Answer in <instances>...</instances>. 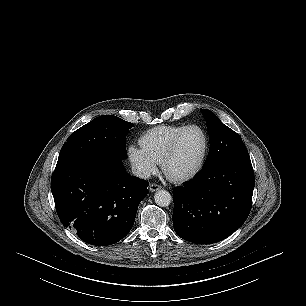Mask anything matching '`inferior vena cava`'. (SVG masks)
I'll list each match as a JSON object with an SVG mask.
<instances>
[{"label": "inferior vena cava", "mask_w": 306, "mask_h": 306, "mask_svg": "<svg viewBox=\"0 0 306 306\" xmlns=\"http://www.w3.org/2000/svg\"><path fill=\"white\" fill-rule=\"evenodd\" d=\"M132 173L142 179H148L151 176L150 170L143 165H133Z\"/></svg>", "instance_id": "602c4592"}]
</instances>
